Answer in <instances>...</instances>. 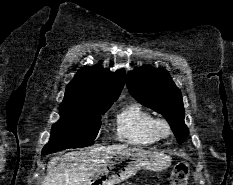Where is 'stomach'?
Wrapping results in <instances>:
<instances>
[{"label": "stomach", "mask_w": 233, "mask_h": 185, "mask_svg": "<svg viewBox=\"0 0 233 185\" xmlns=\"http://www.w3.org/2000/svg\"><path fill=\"white\" fill-rule=\"evenodd\" d=\"M171 165V158L163 153L127 148L115 155L99 172L82 185H117L139 170L162 171Z\"/></svg>", "instance_id": "stomach-1"}]
</instances>
